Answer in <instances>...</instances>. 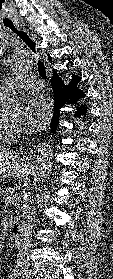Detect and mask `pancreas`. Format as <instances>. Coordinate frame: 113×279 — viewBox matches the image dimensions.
I'll return each mask as SVG.
<instances>
[{"label": "pancreas", "instance_id": "1", "mask_svg": "<svg viewBox=\"0 0 113 279\" xmlns=\"http://www.w3.org/2000/svg\"><path fill=\"white\" fill-rule=\"evenodd\" d=\"M0 194L3 196V199H5L6 204H13L14 206L19 207L20 196L14 193L13 188H10L6 185L3 189H0ZM10 196L14 197L11 201L9 200ZM17 213L18 214L16 216V219L11 220L9 222V228H11L14 224L19 222L20 216H19V212Z\"/></svg>", "mask_w": 113, "mask_h": 279}]
</instances>
